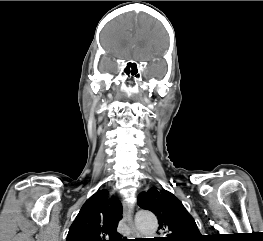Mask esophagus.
I'll use <instances>...</instances> for the list:
<instances>
[{
  "label": "esophagus",
  "instance_id": "34e87169",
  "mask_svg": "<svg viewBox=\"0 0 263 241\" xmlns=\"http://www.w3.org/2000/svg\"><path fill=\"white\" fill-rule=\"evenodd\" d=\"M123 206H124V210H125V220H126L128 226L131 229L132 236H133L134 239L140 240L141 234L139 233V231L136 229V227L134 225L133 217H132V209L126 203H124Z\"/></svg>",
  "mask_w": 263,
  "mask_h": 241
}]
</instances>
